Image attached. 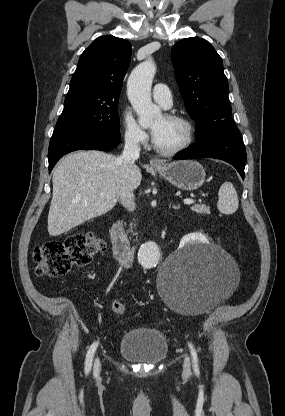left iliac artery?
<instances>
[{
	"label": "left iliac artery",
	"instance_id": "1",
	"mask_svg": "<svg viewBox=\"0 0 285 416\" xmlns=\"http://www.w3.org/2000/svg\"><path fill=\"white\" fill-rule=\"evenodd\" d=\"M189 348H190V352H191V356H192V362H193V367H194V372L197 376L200 375V371H199V367H198V356H197V352L195 350V348L193 347V345L191 343L188 344Z\"/></svg>",
	"mask_w": 285,
	"mask_h": 416
}]
</instances>
